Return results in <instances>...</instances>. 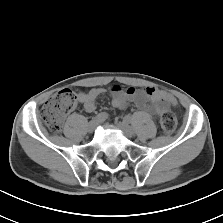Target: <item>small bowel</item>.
Masks as SVG:
<instances>
[{
  "label": "small bowel",
  "mask_w": 223,
  "mask_h": 223,
  "mask_svg": "<svg viewBox=\"0 0 223 223\" xmlns=\"http://www.w3.org/2000/svg\"><path fill=\"white\" fill-rule=\"evenodd\" d=\"M107 91L112 95L113 107L119 110H125L127 104L132 101L140 109H146L155 115H159L168 106L177 105L176 99L172 95L151 87H129L123 89L111 86L108 90L104 88H92L87 92H79L77 100L83 105L86 112H93L96 109V99Z\"/></svg>",
  "instance_id": "small-bowel-1"
}]
</instances>
